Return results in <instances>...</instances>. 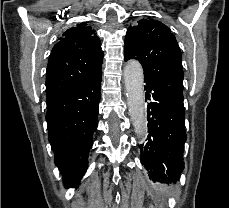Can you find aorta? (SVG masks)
<instances>
[{"instance_id":"762f6f07","label":"aorta","mask_w":229,"mask_h":208,"mask_svg":"<svg viewBox=\"0 0 229 208\" xmlns=\"http://www.w3.org/2000/svg\"><path fill=\"white\" fill-rule=\"evenodd\" d=\"M127 103L134 130L139 138L146 137L147 120L144 96V73L137 60H130L124 67Z\"/></svg>"}]
</instances>
